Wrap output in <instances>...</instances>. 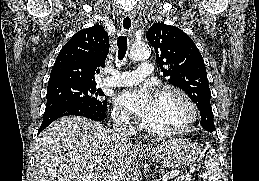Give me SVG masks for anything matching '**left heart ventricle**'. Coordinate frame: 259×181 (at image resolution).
<instances>
[{"mask_svg": "<svg viewBox=\"0 0 259 181\" xmlns=\"http://www.w3.org/2000/svg\"><path fill=\"white\" fill-rule=\"evenodd\" d=\"M186 119L184 103L177 96L167 93L155 96L152 112L144 122L155 129H173L181 126Z\"/></svg>", "mask_w": 259, "mask_h": 181, "instance_id": "1", "label": "left heart ventricle"}]
</instances>
